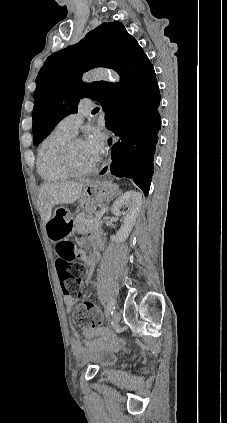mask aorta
Here are the masks:
<instances>
[{"label": "aorta", "mask_w": 227, "mask_h": 423, "mask_svg": "<svg viewBox=\"0 0 227 423\" xmlns=\"http://www.w3.org/2000/svg\"><path fill=\"white\" fill-rule=\"evenodd\" d=\"M87 79L90 81L106 80L115 82L119 81V75L113 71L105 69H95L88 73Z\"/></svg>", "instance_id": "obj_1"}]
</instances>
